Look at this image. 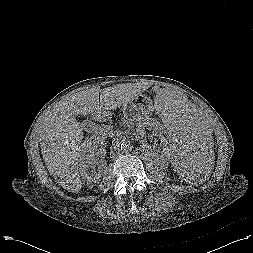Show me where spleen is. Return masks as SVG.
Returning <instances> with one entry per match:
<instances>
[{
	"label": "spleen",
	"instance_id": "3e777b00",
	"mask_svg": "<svg viewBox=\"0 0 253 253\" xmlns=\"http://www.w3.org/2000/svg\"><path fill=\"white\" fill-rule=\"evenodd\" d=\"M154 108L166 125L174 174L187 186L204 182L215 170L217 151L203 113L175 89L161 90Z\"/></svg>",
	"mask_w": 253,
	"mask_h": 253
}]
</instances>
